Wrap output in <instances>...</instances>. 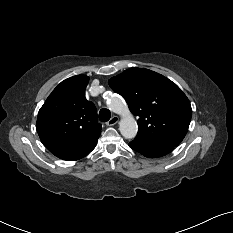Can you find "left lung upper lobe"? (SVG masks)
I'll return each instance as SVG.
<instances>
[{
  "mask_svg": "<svg viewBox=\"0 0 233 233\" xmlns=\"http://www.w3.org/2000/svg\"><path fill=\"white\" fill-rule=\"evenodd\" d=\"M109 86L138 116L135 139L178 146L191 121L190 102L168 78L148 69L130 68L112 77Z\"/></svg>",
  "mask_w": 233,
  "mask_h": 233,
  "instance_id": "5c2ea615",
  "label": "left lung upper lobe"
}]
</instances>
